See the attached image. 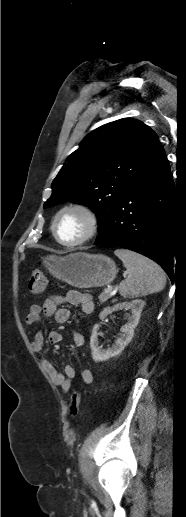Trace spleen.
I'll use <instances>...</instances> for the list:
<instances>
[{
  "label": "spleen",
  "mask_w": 186,
  "mask_h": 517,
  "mask_svg": "<svg viewBox=\"0 0 186 517\" xmlns=\"http://www.w3.org/2000/svg\"><path fill=\"white\" fill-rule=\"evenodd\" d=\"M114 253L122 260L128 272L127 278L119 286L121 296L136 298L164 289L166 276L155 262L126 249H117Z\"/></svg>",
  "instance_id": "3e777b00"
}]
</instances>
